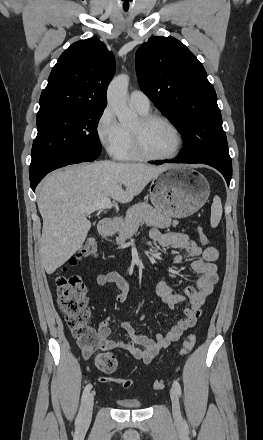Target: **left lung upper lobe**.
Returning a JSON list of instances; mask_svg holds the SVG:
<instances>
[{"instance_id": "1", "label": "left lung upper lobe", "mask_w": 263, "mask_h": 440, "mask_svg": "<svg viewBox=\"0 0 263 440\" xmlns=\"http://www.w3.org/2000/svg\"><path fill=\"white\" fill-rule=\"evenodd\" d=\"M135 60L141 90L185 137L180 157L231 161L216 92L192 52L173 37L155 36Z\"/></svg>"}]
</instances>
